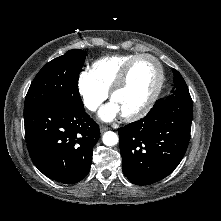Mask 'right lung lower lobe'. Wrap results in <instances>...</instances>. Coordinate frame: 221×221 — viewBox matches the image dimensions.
<instances>
[{
  "mask_svg": "<svg viewBox=\"0 0 221 221\" xmlns=\"http://www.w3.org/2000/svg\"><path fill=\"white\" fill-rule=\"evenodd\" d=\"M24 122L30 157L45 176L74 184L88 174L100 131L84 107L48 102L25 110Z\"/></svg>",
  "mask_w": 221,
  "mask_h": 221,
  "instance_id": "98d812e1",
  "label": "right lung lower lobe"
}]
</instances>
